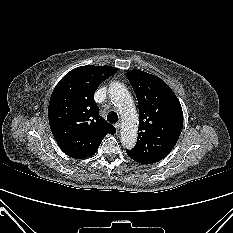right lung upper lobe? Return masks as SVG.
<instances>
[{
    "instance_id": "cb5924a9",
    "label": "right lung upper lobe",
    "mask_w": 233,
    "mask_h": 233,
    "mask_svg": "<svg viewBox=\"0 0 233 233\" xmlns=\"http://www.w3.org/2000/svg\"><path fill=\"white\" fill-rule=\"evenodd\" d=\"M117 71L114 67L81 66L68 72L54 88L48 107L49 124L57 144L68 156H92L108 133H116L115 127L99 115L94 92Z\"/></svg>"
}]
</instances>
